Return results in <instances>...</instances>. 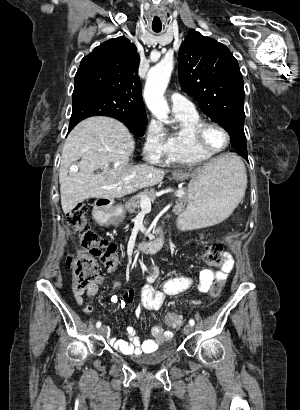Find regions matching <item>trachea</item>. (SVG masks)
I'll use <instances>...</instances> for the list:
<instances>
[{"mask_svg":"<svg viewBox=\"0 0 300 410\" xmlns=\"http://www.w3.org/2000/svg\"><path fill=\"white\" fill-rule=\"evenodd\" d=\"M153 31H154V32H160L161 29H154Z\"/></svg>","mask_w":300,"mask_h":410,"instance_id":"1","label":"trachea"}]
</instances>
